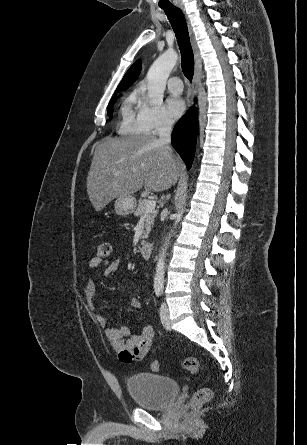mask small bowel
Returning a JSON list of instances; mask_svg holds the SVG:
<instances>
[{"mask_svg":"<svg viewBox=\"0 0 307 445\" xmlns=\"http://www.w3.org/2000/svg\"><path fill=\"white\" fill-rule=\"evenodd\" d=\"M122 264L120 258L111 261H102L98 258H93L89 262V268L94 269L99 266H104V274L106 277H113ZM96 294V286L92 279L87 281L84 296L88 309L95 311L94 298ZM131 307L138 309L141 303L138 299L131 301ZM96 323L103 329L104 335L111 344L112 348L118 353L119 360L122 363L129 364L134 361L142 360L150 350L155 332L152 326H145L138 333H131L127 326L110 327L107 320L100 314L95 313Z\"/></svg>","mask_w":307,"mask_h":445,"instance_id":"1","label":"small bowel"}]
</instances>
